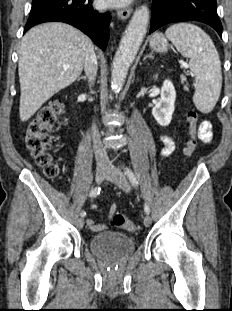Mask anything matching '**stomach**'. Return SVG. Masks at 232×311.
<instances>
[{
  "mask_svg": "<svg viewBox=\"0 0 232 311\" xmlns=\"http://www.w3.org/2000/svg\"><path fill=\"white\" fill-rule=\"evenodd\" d=\"M169 44L162 33H155L150 39V48L159 53H165L168 50Z\"/></svg>",
  "mask_w": 232,
  "mask_h": 311,
  "instance_id": "1",
  "label": "stomach"
}]
</instances>
